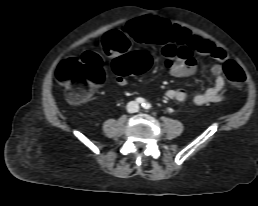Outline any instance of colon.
<instances>
[{
  "label": "colon",
  "mask_w": 258,
  "mask_h": 206,
  "mask_svg": "<svg viewBox=\"0 0 258 206\" xmlns=\"http://www.w3.org/2000/svg\"><path fill=\"white\" fill-rule=\"evenodd\" d=\"M150 66L151 58L143 52L122 56L114 62L116 72L121 75L143 74ZM223 71L232 88L240 89L244 86L246 77L237 62L226 61ZM56 79L65 87L68 101L72 104H81L105 80L102 59L98 53L91 50L84 52L80 57L67 58L57 67Z\"/></svg>",
  "instance_id": "obj_1"
}]
</instances>
